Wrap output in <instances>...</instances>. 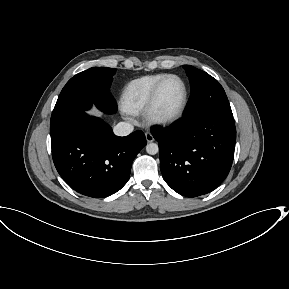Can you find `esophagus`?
Segmentation results:
<instances>
[{
	"mask_svg": "<svg viewBox=\"0 0 289 289\" xmlns=\"http://www.w3.org/2000/svg\"><path fill=\"white\" fill-rule=\"evenodd\" d=\"M145 138H146L147 142H153L154 141V137L150 132L145 133Z\"/></svg>",
	"mask_w": 289,
	"mask_h": 289,
	"instance_id": "esophagus-1",
	"label": "esophagus"
}]
</instances>
